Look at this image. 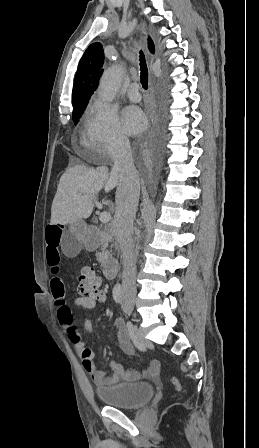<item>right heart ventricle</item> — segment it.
Instances as JSON below:
<instances>
[{"instance_id":"right-heart-ventricle-1","label":"right heart ventricle","mask_w":259,"mask_h":448,"mask_svg":"<svg viewBox=\"0 0 259 448\" xmlns=\"http://www.w3.org/2000/svg\"><path fill=\"white\" fill-rule=\"evenodd\" d=\"M94 119V113L91 110V106H88L87 109L85 110L84 116L82 118V124H83V133L85 135H87L91 124L93 122Z\"/></svg>"}]
</instances>
